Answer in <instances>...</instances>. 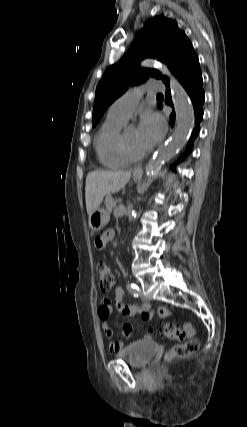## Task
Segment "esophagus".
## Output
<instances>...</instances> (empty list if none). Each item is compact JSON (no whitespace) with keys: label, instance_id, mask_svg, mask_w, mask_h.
Returning <instances> with one entry per match:
<instances>
[{"label":"esophagus","instance_id":"1","mask_svg":"<svg viewBox=\"0 0 247 427\" xmlns=\"http://www.w3.org/2000/svg\"><path fill=\"white\" fill-rule=\"evenodd\" d=\"M142 172H143V170H142L141 167H137V168L134 169V173L135 174H142Z\"/></svg>","mask_w":247,"mask_h":427}]
</instances>
